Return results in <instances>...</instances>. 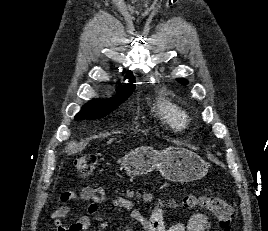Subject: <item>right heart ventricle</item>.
Returning <instances> with one entry per match:
<instances>
[{"label":"right heart ventricle","instance_id":"e07e8e85","mask_svg":"<svg viewBox=\"0 0 268 231\" xmlns=\"http://www.w3.org/2000/svg\"><path fill=\"white\" fill-rule=\"evenodd\" d=\"M152 112L160 124L175 131L185 128L191 120L189 112L182 105L165 96L154 101Z\"/></svg>","mask_w":268,"mask_h":231}]
</instances>
